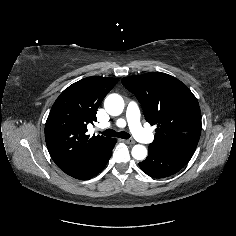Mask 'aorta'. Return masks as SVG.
I'll return each mask as SVG.
<instances>
[{
    "label": "aorta",
    "instance_id": "aorta-1",
    "mask_svg": "<svg viewBox=\"0 0 236 236\" xmlns=\"http://www.w3.org/2000/svg\"><path fill=\"white\" fill-rule=\"evenodd\" d=\"M104 107L108 114L118 116L123 112L124 100L119 94H110L105 98ZM131 154L136 160H144L147 156V149L143 145H135Z\"/></svg>",
    "mask_w": 236,
    "mask_h": 236
}]
</instances>
